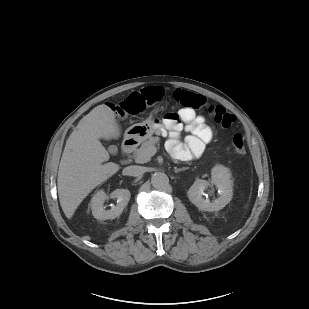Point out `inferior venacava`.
Wrapping results in <instances>:
<instances>
[{"label": "inferior vena cava", "mask_w": 309, "mask_h": 309, "mask_svg": "<svg viewBox=\"0 0 309 309\" xmlns=\"http://www.w3.org/2000/svg\"><path fill=\"white\" fill-rule=\"evenodd\" d=\"M123 172L125 175L138 177L145 172V169L142 166L133 165L124 168Z\"/></svg>", "instance_id": "obj_1"}]
</instances>
